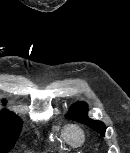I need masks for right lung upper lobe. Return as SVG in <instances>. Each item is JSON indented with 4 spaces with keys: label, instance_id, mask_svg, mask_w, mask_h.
<instances>
[{
    "label": "right lung upper lobe",
    "instance_id": "1",
    "mask_svg": "<svg viewBox=\"0 0 130 153\" xmlns=\"http://www.w3.org/2000/svg\"><path fill=\"white\" fill-rule=\"evenodd\" d=\"M0 114L15 115L14 113L9 112V111H7V110L1 111Z\"/></svg>",
    "mask_w": 130,
    "mask_h": 153
}]
</instances>
